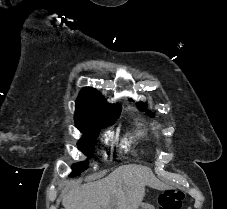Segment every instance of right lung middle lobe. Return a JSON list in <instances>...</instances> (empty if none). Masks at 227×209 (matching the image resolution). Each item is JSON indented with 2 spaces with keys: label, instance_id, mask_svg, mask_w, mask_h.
Listing matches in <instances>:
<instances>
[{
  "label": "right lung middle lobe",
  "instance_id": "obj_1",
  "mask_svg": "<svg viewBox=\"0 0 227 209\" xmlns=\"http://www.w3.org/2000/svg\"><path fill=\"white\" fill-rule=\"evenodd\" d=\"M116 119H105L100 117H87L75 120L76 127L83 133V137L78 141L77 145L80 151L85 155L91 156L93 152V142L91 139L97 138L100 129L114 124ZM73 172L71 176L79 175L87 169L88 163L80 162L72 165Z\"/></svg>",
  "mask_w": 227,
  "mask_h": 209
}]
</instances>
